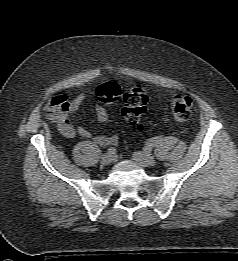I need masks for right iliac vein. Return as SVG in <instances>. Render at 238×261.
<instances>
[{
  "mask_svg": "<svg viewBox=\"0 0 238 261\" xmlns=\"http://www.w3.org/2000/svg\"><path fill=\"white\" fill-rule=\"evenodd\" d=\"M114 160V156L110 153H105L103 156H102V159H101V162L103 165H108L110 163H112Z\"/></svg>",
  "mask_w": 238,
  "mask_h": 261,
  "instance_id": "obj_1",
  "label": "right iliac vein"
}]
</instances>
